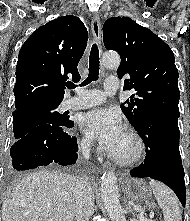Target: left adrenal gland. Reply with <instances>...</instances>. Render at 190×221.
<instances>
[{
    "instance_id": "a2214340",
    "label": "left adrenal gland",
    "mask_w": 190,
    "mask_h": 221,
    "mask_svg": "<svg viewBox=\"0 0 190 221\" xmlns=\"http://www.w3.org/2000/svg\"><path fill=\"white\" fill-rule=\"evenodd\" d=\"M125 206H126V208H127L130 212L132 211L130 205H128V204L125 203Z\"/></svg>"
}]
</instances>
